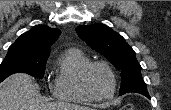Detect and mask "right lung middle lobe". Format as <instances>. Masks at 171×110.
Wrapping results in <instances>:
<instances>
[{
    "mask_svg": "<svg viewBox=\"0 0 171 110\" xmlns=\"http://www.w3.org/2000/svg\"><path fill=\"white\" fill-rule=\"evenodd\" d=\"M49 55H28L15 49H9L0 65V81L11 74L24 72L37 78H43Z\"/></svg>",
    "mask_w": 171,
    "mask_h": 110,
    "instance_id": "1",
    "label": "right lung middle lobe"
}]
</instances>
